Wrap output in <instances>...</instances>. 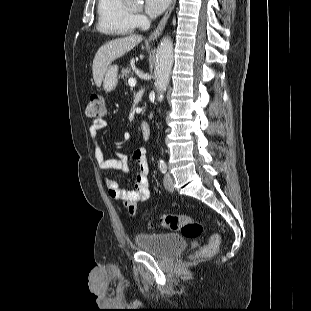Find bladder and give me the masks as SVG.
<instances>
[{
	"mask_svg": "<svg viewBox=\"0 0 311 311\" xmlns=\"http://www.w3.org/2000/svg\"><path fill=\"white\" fill-rule=\"evenodd\" d=\"M134 243L139 251L152 253L163 260L173 258L187 246L186 237L177 233L137 234Z\"/></svg>",
	"mask_w": 311,
	"mask_h": 311,
	"instance_id": "obj_1",
	"label": "bladder"
}]
</instances>
